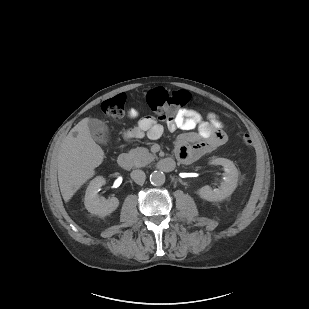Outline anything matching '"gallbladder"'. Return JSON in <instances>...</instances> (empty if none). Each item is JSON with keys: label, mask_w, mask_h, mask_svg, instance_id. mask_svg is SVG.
Here are the masks:
<instances>
[{"label": "gallbladder", "mask_w": 309, "mask_h": 309, "mask_svg": "<svg viewBox=\"0 0 309 309\" xmlns=\"http://www.w3.org/2000/svg\"><path fill=\"white\" fill-rule=\"evenodd\" d=\"M88 127L90 130V133L95 141L101 144H106L108 141V127L107 125L97 119V118H91L88 121Z\"/></svg>", "instance_id": "obj_1"}]
</instances>
